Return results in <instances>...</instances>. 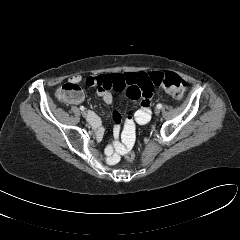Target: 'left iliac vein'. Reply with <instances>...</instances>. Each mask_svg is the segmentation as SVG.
I'll use <instances>...</instances> for the list:
<instances>
[{"mask_svg": "<svg viewBox=\"0 0 240 240\" xmlns=\"http://www.w3.org/2000/svg\"><path fill=\"white\" fill-rule=\"evenodd\" d=\"M155 114H156V115H159V114H160V110H159V109H156V110H155Z\"/></svg>", "mask_w": 240, "mask_h": 240, "instance_id": "left-iliac-vein-1", "label": "left iliac vein"}]
</instances>
